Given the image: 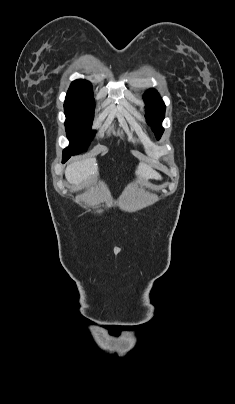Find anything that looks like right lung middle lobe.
Wrapping results in <instances>:
<instances>
[{
  "label": "right lung middle lobe",
  "instance_id": "right-lung-middle-lobe-1",
  "mask_svg": "<svg viewBox=\"0 0 235 404\" xmlns=\"http://www.w3.org/2000/svg\"><path fill=\"white\" fill-rule=\"evenodd\" d=\"M64 110L66 133L70 145L64 149L63 156H72L83 152L94 136L95 132L90 131L94 116V102L65 101Z\"/></svg>",
  "mask_w": 235,
  "mask_h": 404
}]
</instances>
